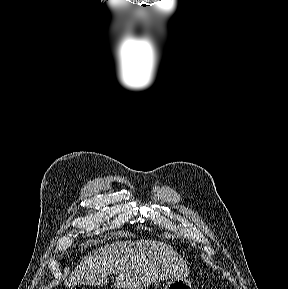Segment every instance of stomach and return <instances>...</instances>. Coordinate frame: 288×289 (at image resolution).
<instances>
[{
  "instance_id": "0dacf381",
  "label": "stomach",
  "mask_w": 288,
  "mask_h": 289,
  "mask_svg": "<svg viewBox=\"0 0 288 289\" xmlns=\"http://www.w3.org/2000/svg\"><path fill=\"white\" fill-rule=\"evenodd\" d=\"M164 289H193L191 283L185 278H174L166 283Z\"/></svg>"
}]
</instances>
